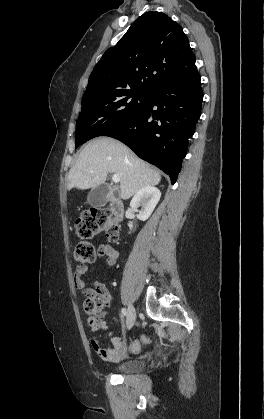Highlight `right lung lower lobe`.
<instances>
[{"label": "right lung lower lobe", "instance_id": "right-lung-lower-lobe-1", "mask_svg": "<svg viewBox=\"0 0 264 419\" xmlns=\"http://www.w3.org/2000/svg\"><path fill=\"white\" fill-rule=\"evenodd\" d=\"M200 75L171 81L150 91L147 102L102 136L120 140L140 158L168 174L174 184L201 115Z\"/></svg>", "mask_w": 264, "mask_h": 419}]
</instances>
